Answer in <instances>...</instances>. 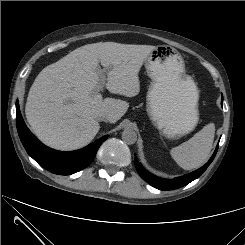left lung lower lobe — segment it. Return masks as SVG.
Wrapping results in <instances>:
<instances>
[{
  "instance_id": "1",
  "label": "left lung lower lobe",
  "mask_w": 245,
  "mask_h": 245,
  "mask_svg": "<svg viewBox=\"0 0 245 245\" xmlns=\"http://www.w3.org/2000/svg\"><path fill=\"white\" fill-rule=\"evenodd\" d=\"M221 104H222V101H221ZM217 150H218V145L215 149L214 154L210 158V160L203 167H201L200 169L190 174H187L182 177H177L172 180L162 179L157 176H154L153 174H151L150 172H148L147 170L143 168V166L138 162L136 157H135V166L137 168L139 175L153 187L159 190H173V189H177L182 186H185L188 183L192 182L193 180L197 179L199 176H201L204 173V171L207 169V167L210 165V163L213 161L217 153Z\"/></svg>"
}]
</instances>
